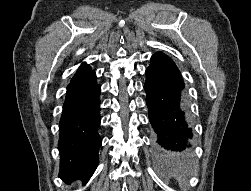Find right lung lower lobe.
<instances>
[{
  "label": "right lung lower lobe",
  "instance_id": "obj_1",
  "mask_svg": "<svg viewBox=\"0 0 251 191\" xmlns=\"http://www.w3.org/2000/svg\"><path fill=\"white\" fill-rule=\"evenodd\" d=\"M101 88L95 72L67 86L60 119V173L67 182L86 183L98 165Z\"/></svg>",
  "mask_w": 251,
  "mask_h": 191
}]
</instances>
